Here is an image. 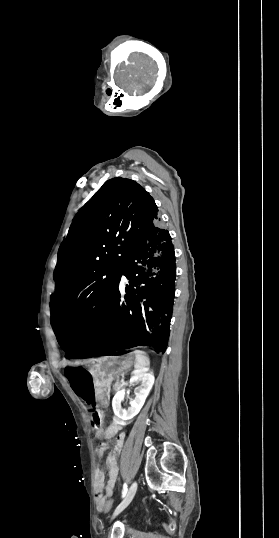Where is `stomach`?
Here are the masks:
<instances>
[{"instance_id":"0dacf381","label":"stomach","mask_w":279,"mask_h":538,"mask_svg":"<svg viewBox=\"0 0 279 538\" xmlns=\"http://www.w3.org/2000/svg\"><path fill=\"white\" fill-rule=\"evenodd\" d=\"M133 364L132 353H104L99 360V367L96 369V376L99 378L95 397L100 407L105 408L110 399V386L108 382H113L117 374L124 370H129Z\"/></svg>"}]
</instances>
